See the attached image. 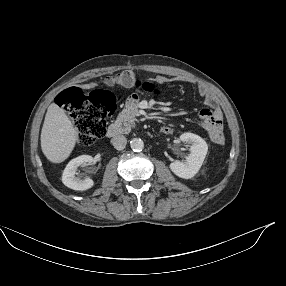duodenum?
<instances>
[{
  "instance_id": "1",
  "label": "duodenum",
  "mask_w": 286,
  "mask_h": 286,
  "mask_svg": "<svg viewBox=\"0 0 286 286\" xmlns=\"http://www.w3.org/2000/svg\"><path fill=\"white\" fill-rule=\"evenodd\" d=\"M129 123L127 121H119L110 124L106 130V136L108 138H113L124 134L128 131Z\"/></svg>"
}]
</instances>
